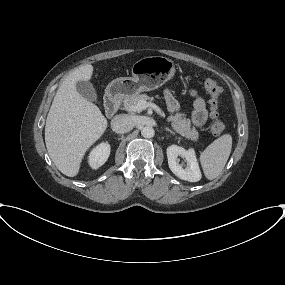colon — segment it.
I'll use <instances>...</instances> for the list:
<instances>
[{
  "label": "colon",
  "mask_w": 285,
  "mask_h": 285,
  "mask_svg": "<svg viewBox=\"0 0 285 285\" xmlns=\"http://www.w3.org/2000/svg\"><path fill=\"white\" fill-rule=\"evenodd\" d=\"M203 85L211 97L209 101L210 118L212 120L210 130L214 136H219L224 130V124L219 114V101L222 89L215 80L208 77L203 79Z\"/></svg>",
  "instance_id": "colon-1"
}]
</instances>
